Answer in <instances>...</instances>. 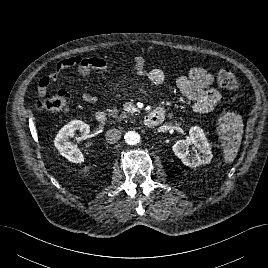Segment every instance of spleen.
Returning a JSON list of instances; mask_svg holds the SVG:
<instances>
[{"instance_id": "1", "label": "spleen", "mask_w": 268, "mask_h": 268, "mask_svg": "<svg viewBox=\"0 0 268 268\" xmlns=\"http://www.w3.org/2000/svg\"><path fill=\"white\" fill-rule=\"evenodd\" d=\"M218 135L222 140V150L226 163L234 161L242 140L243 120L241 115L226 112L219 119Z\"/></svg>"}]
</instances>
